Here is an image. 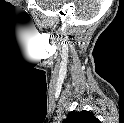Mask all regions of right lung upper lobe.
<instances>
[{"mask_svg":"<svg viewBox=\"0 0 124 123\" xmlns=\"http://www.w3.org/2000/svg\"><path fill=\"white\" fill-rule=\"evenodd\" d=\"M98 119L95 118L90 111L83 110L81 112L71 111L63 123H97Z\"/></svg>","mask_w":124,"mask_h":123,"instance_id":"obj_1","label":"right lung upper lobe"}]
</instances>
